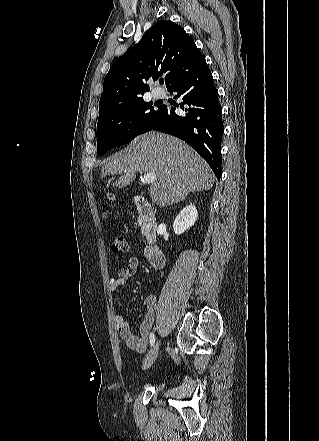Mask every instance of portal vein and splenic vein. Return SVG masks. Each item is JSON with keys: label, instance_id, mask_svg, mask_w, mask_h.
<instances>
[{"label": "portal vein and splenic vein", "instance_id": "1", "mask_svg": "<svg viewBox=\"0 0 319 441\" xmlns=\"http://www.w3.org/2000/svg\"><path fill=\"white\" fill-rule=\"evenodd\" d=\"M143 179L146 183H153L156 179V174L154 172H147L143 174Z\"/></svg>", "mask_w": 319, "mask_h": 441}]
</instances>
